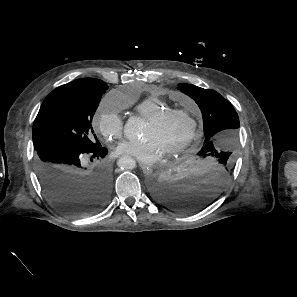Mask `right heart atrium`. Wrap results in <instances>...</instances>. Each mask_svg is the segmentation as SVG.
<instances>
[{
  "label": "right heart atrium",
  "instance_id": "obj_1",
  "mask_svg": "<svg viewBox=\"0 0 297 297\" xmlns=\"http://www.w3.org/2000/svg\"><path fill=\"white\" fill-rule=\"evenodd\" d=\"M122 105L113 99L112 94L105 96L95 114V124L99 132L109 141L121 137L123 118L120 114Z\"/></svg>",
  "mask_w": 297,
  "mask_h": 297
}]
</instances>
